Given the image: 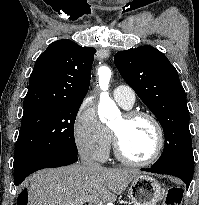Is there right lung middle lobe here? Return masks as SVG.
Wrapping results in <instances>:
<instances>
[{"label":"right lung middle lobe","instance_id":"obj_1","mask_svg":"<svg viewBox=\"0 0 199 205\" xmlns=\"http://www.w3.org/2000/svg\"><path fill=\"white\" fill-rule=\"evenodd\" d=\"M81 103H56L23 112L14 168L43 154L76 156L74 123Z\"/></svg>","mask_w":199,"mask_h":205}]
</instances>
